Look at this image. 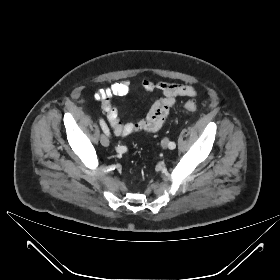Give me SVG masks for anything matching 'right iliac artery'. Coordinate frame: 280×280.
I'll list each match as a JSON object with an SVG mask.
<instances>
[{"instance_id": "82829eb1", "label": "right iliac artery", "mask_w": 280, "mask_h": 280, "mask_svg": "<svg viewBox=\"0 0 280 280\" xmlns=\"http://www.w3.org/2000/svg\"><path fill=\"white\" fill-rule=\"evenodd\" d=\"M99 123H100V126H101L103 132H104L107 136H110V132H109L108 126H107V124L105 123V121L101 118V119L99 120ZM125 149H126L125 146H119V145H118V147H116V150H117V151H124Z\"/></svg>"}]
</instances>
